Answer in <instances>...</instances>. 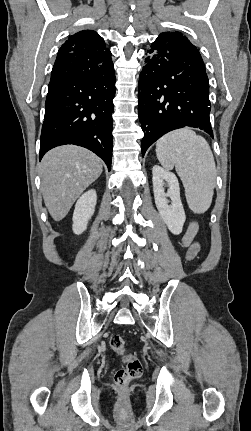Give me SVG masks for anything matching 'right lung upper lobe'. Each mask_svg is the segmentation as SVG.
I'll return each mask as SVG.
<instances>
[{
	"mask_svg": "<svg viewBox=\"0 0 251 431\" xmlns=\"http://www.w3.org/2000/svg\"><path fill=\"white\" fill-rule=\"evenodd\" d=\"M85 48H93L99 52H110L109 49L106 48L102 37L92 30H83L70 36L59 51L63 53H73Z\"/></svg>",
	"mask_w": 251,
	"mask_h": 431,
	"instance_id": "right-lung-upper-lobe-1",
	"label": "right lung upper lobe"
}]
</instances>
